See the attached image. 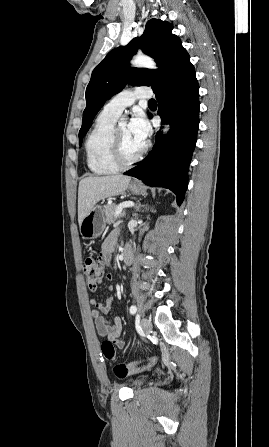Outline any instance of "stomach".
Instances as JSON below:
<instances>
[{
	"label": "stomach",
	"mask_w": 269,
	"mask_h": 447,
	"mask_svg": "<svg viewBox=\"0 0 269 447\" xmlns=\"http://www.w3.org/2000/svg\"><path fill=\"white\" fill-rule=\"evenodd\" d=\"M142 186L130 184L129 190L132 194H140ZM106 225L105 214L102 206H94L89 214L85 216L80 225V233L85 239H94L101 235Z\"/></svg>",
	"instance_id": "obj_1"
}]
</instances>
